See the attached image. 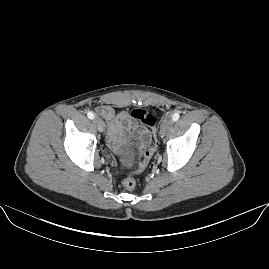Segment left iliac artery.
Here are the masks:
<instances>
[{"instance_id":"1","label":"left iliac artery","mask_w":269,"mask_h":269,"mask_svg":"<svg viewBox=\"0 0 269 269\" xmlns=\"http://www.w3.org/2000/svg\"><path fill=\"white\" fill-rule=\"evenodd\" d=\"M180 115L178 113H174L172 119L173 121H177L179 119Z\"/></svg>"}]
</instances>
